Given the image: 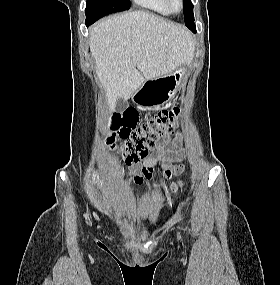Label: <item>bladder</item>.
I'll list each match as a JSON object with an SVG mask.
<instances>
[{"instance_id": "1", "label": "bladder", "mask_w": 280, "mask_h": 285, "mask_svg": "<svg viewBox=\"0 0 280 285\" xmlns=\"http://www.w3.org/2000/svg\"><path fill=\"white\" fill-rule=\"evenodd\" d=\"M124 219L132 221V223L143 230H149L157 226L160 218L156 214L145 215L139 213L136 209H132L124 215Z\"/></svg>"}]
</instances>
